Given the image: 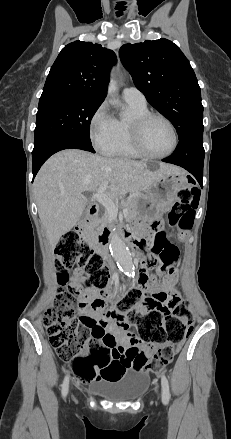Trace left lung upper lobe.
<instances>
[{
    "instance_id": "obj_1",
    "label": "left lung upper lobe",
    "mask_w": 231,
    "mask_h": 439,
    "mask_svg": "<svg viewBox=\"0 0 231 439\" xmlns=\"http://www.w3.org/2000/svg\"><path fill=\"white\" fill-rule=\"evenodd\" d=\"M120 59L147 101L176 128L179 139L203 127L201 91L179 47L167 39L125 44Z\"/></svg>"
}]
</instances>
